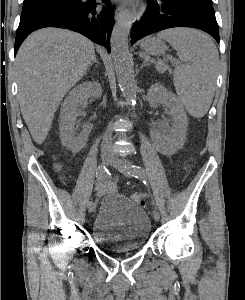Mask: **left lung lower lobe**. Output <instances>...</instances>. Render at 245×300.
Returning a JSON list of instances; mask_svg holds the SVG:
<instances>
[{
	"instance_id": "1",
	"label": "left lung lower lobe",
	"mask_w": 245,
	"mask_h": 300,
	"mask_svg": "<svg viewBox=\"0 0 245 300\" xmlns=\"http://www.w3.org/2000/svg\"><path fill=\"white\" fill-rule=\"evenodd\" d=\"M147 11L131 30V43L152 33L191 27L209 33L219 43V28L211 3L203 0H147Z\"/></svg>"
}]
</instances>
